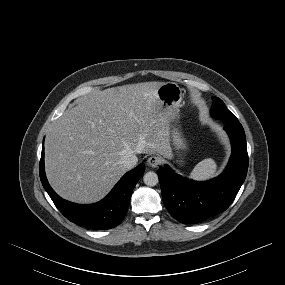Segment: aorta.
I'll return each instance as SVG.
<instances>
[{
  "instance_id": "762f6f07",
  "label": "aorta",
  "mask_w": 285,
  "mask_h": 285,
  "mask_svg": "<svg viewBox=\"0 0 285 285\" xmlns=\"http://www.w3.org/2000/svg\"><path fill=\"white\" fill-rule=\"evenodd\" d=\"M143 181L147 186H155L158 183V175L155 172H147L144 177Z\"/></svg>"
}]
</instances>
